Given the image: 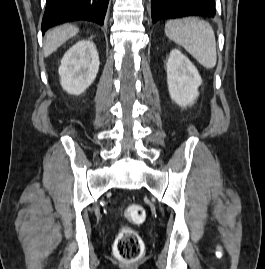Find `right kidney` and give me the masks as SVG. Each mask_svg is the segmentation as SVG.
<instances>
[{
	"label": "right kidney",
	"instance_id": "right-kidney-1",
	"mask_svg": "<svg viewBox=\"0 0 265 269\" xmlns=\"http://www.w3.org/2000/svg\"><path fill=\"white\" fill-rule=\"evenodd\" d=\"M99 55L92 41L81 40L64 55L59 67L60 84L72 95H80L95 80Z\"/></svg>",
	"mask_w": 265,
	"mask_h": 269
}]
</instances>
